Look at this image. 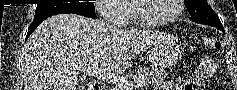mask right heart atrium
Here are the masks:
<instances>
[{"mask_svg": "<svg viewBox=\"0 0 237 90\" xmlns=\"http://www.w3.org/2000/svg\"><path fill=\"white\" fill-rule=\"evenodd\" d=\"M120 6L122 0H95L92 9L101 12L105 20H127V13Z\"/></svg>", "mask_w": 237, "mask_h": 90, "instance_id": "1", "label": "right heart atrium"}]
</instances>
